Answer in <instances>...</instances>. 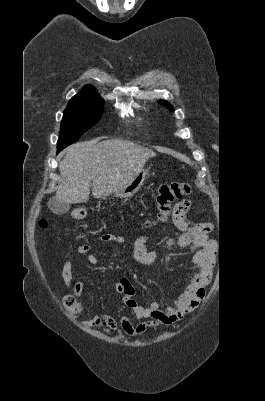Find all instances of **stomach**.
I'll use <instances>...</instances> for the list:
<instances>
[{"mask_svg":"<svg viewBox=\"0 0 265 401\" xmlns=\"http://www.w3.org/2000/svg\"><path fill=\"white\" fill-rule=\"evenodd\" d=\"M147 174V168H141V170H139V172L135 174L134 178H132V180H129L127 184H124L122 188L116 190L113 196H118V198H129V196H133L135 192H138V190H140Z\"/></svg>","mask_w":265,"mask_h":401,"instance_id":"obj_1","label":"stomach"}]
</instances>
